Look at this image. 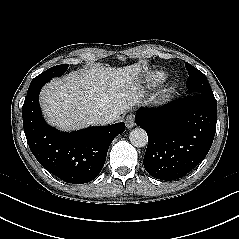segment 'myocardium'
Listing matches in <instances>:
<instances>
[{
	"instance_id": "obj_1",
	"label": "myocardium",
	"mask_w": 239,
	"mask_h": 239,
	"mask_svg": "<svg viewBox=\"0 0 239 239\" xmlns=\"http://www.w3.org/2000/svg\"><path fill=\"white\" fill-rule=\"evenodd\" d=\"M175 90V86H169L168 88H166L158 97V102L162 103V102H166L168 100V98L170 97V95L174 92Z\"/></svg>"
}]
</instances>
